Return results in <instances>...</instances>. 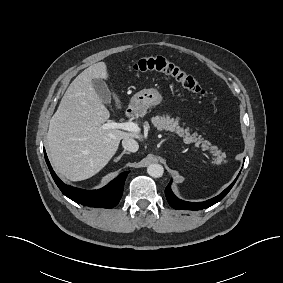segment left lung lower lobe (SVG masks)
<instances>
[{
  "mask_svg": "<svg viewBox=\"0 0 283 283\" xmlns=\"http://www.w3.org/2000/svg\"><path fill=\"white\" fill-rule=\"evenodd\" d=\"M237 178L234 180V182L227 187L220 195L204 201V202H187V201H183L178 199L172 192L171 190V182L168 184V186L165 189V195L167 198L168 203L170 204L171 207H173L174 209H184V210H201L204 208H208L214 204H216L217 202H219L220 200H222L227 193L230 191V189L233 187V185L235 184Z\"/></svg>",
  "mask_w": 283,
  "mask_h": 283,
  "instance_id": "0a47b994",
  "label": "left lung lower lobe"
}]
</instances>
